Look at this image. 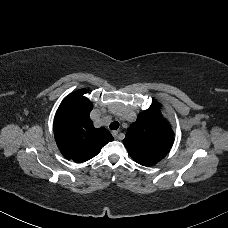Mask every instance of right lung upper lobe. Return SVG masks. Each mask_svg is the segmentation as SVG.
<instances>
[{"instance_id":"cb5924a9","label":"right lung upper lobe","mask_w":228,"mask_h":228,"mask_svg":"<svg viewBox=\"0 0 228 228\" xmlns=\"http://www.w3.org/2000/svg\"><path fill=\"white\" fill-rule=\"evenodd\" d=\"M86 90H77L64 98L54 119V136L61 153L75 162L96 156L113 140L105 128H95L90 119L92 103L84 97Z\"/></svg>"}]
</instances>
